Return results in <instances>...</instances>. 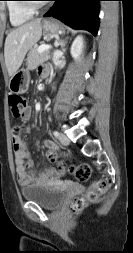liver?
<instances>
[{"label": "liver", "mask_w": 133, "mask_h": 253, "mask_svg": "<svg viewBox=\"0 0 133 253\" xmlns=\"http://www.w3.org/2000/svg\"><path fill=\"white\" fill-rule=\"evenodd\" d=\"M42 35L41 19L13 29L6 37L4 46L5 64L9 76H13L22 65L25 55Z\"/></svg>", "instance_id": "obj_1"}]
</instances>
